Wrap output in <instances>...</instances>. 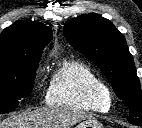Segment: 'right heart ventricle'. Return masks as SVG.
<instances>
[{
  "instance_id": "right-heart-ventricle-1",
  "label": "right heart ventricle",
  "mask_w": 142,
  "mask_h": 128,
  "mask_svg": "<svg viewBox=\"0 0 142 128\" xmlns=\"http://www.w3.org/2000/svg\"><path fill=\"white\" fill-rule=\"evenodd\" d=\"M111 92L105 81L87 63L66 60L54 69L46 102L74 110L108 112Z\"/></svg>"
}]
</instances>
